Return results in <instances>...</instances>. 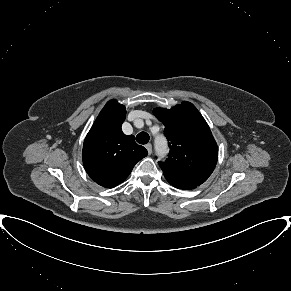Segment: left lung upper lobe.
I'll return each instance as SVG.
<instances>
[{"mask_svg":"<svg viewBox=\"0 0 291 291\" xmlns=\"http://www.w3.org/2000/svg\"><path fill=\"white\" fill-rule=\"evenodd\" d=\"M169 142V157L159 162L166 179L194 186L204 183L215 169L218 147L196 107L183 101L171 109L156 108Z\"/></svg>","mask_w":291,"mask_h":291,"instance_id":"1","label":"left lung upper lobe"}]
</instances>
